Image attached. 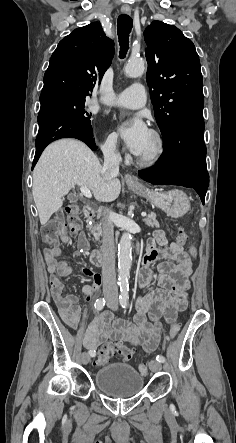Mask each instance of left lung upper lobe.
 Listing matches in <instances>:
<instances>
[{
  "label": "left lung upper lobe",
  "instance_id": "5c2ea615",
  "mask_svg": "<svg viewBox=\"0 0 236 443\" xmlns=\"http://www.w3.org/2000/svg\"><path fill=\"white\" fill-rule=\"evenodd\" d=\"M147 84L162 135L188 114H203L201 66L193 42L175 26L153 21L144 31Z\"/></svg>",
  "mask_w": 236,
  "mask_h": 443
}]
</instances>
